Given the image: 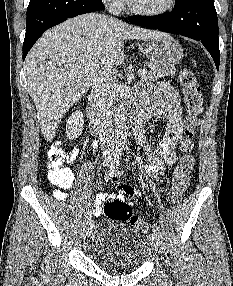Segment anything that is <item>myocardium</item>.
<instances>
[{
    "mask_svg": "<svg viewBox=\"0 0 233 286\" xmlns=\"http://www.w3.org/2000/svg\"><path fill=\"white\" fill-rule=\"evenodd\" d=\"M127 5L129 7V9L138 14V15H142V16H148V17H155V16H161L164 15L168 12H170L171 10H173V8L175 7L176 4V0H168V3L165 7H163L162 9L159 10H146V9H142L137 7L132 0H126Z\"/></svg>",
    "mask_w": 233,
    "mask_h": 286,
    "instance_id": "obj_1",
    "label": "myocardium"
}]
</instances>
